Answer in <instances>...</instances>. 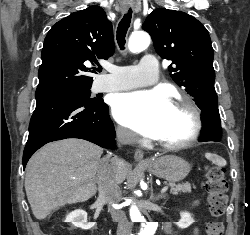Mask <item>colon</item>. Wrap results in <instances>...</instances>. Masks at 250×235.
<instances>
[{
	"mask_svg": "<svg viewBox=\"0 0 250 235\" xmlns=\"http://www.w3.org/2000/svg\"><path fill=\"white\" fill-rule=\"evenodd\" d=\"M205 190L208 195V208L212 220L206 224L207 235H223L224 225L220 220L227 206L228 182L225 177V169L213 166L206 175Z\"/></svg>",
	"mask_w": 250,
	"mask_h": 235,
	"instance_id": "obj_1",
	"label": "colon"
}]
</instances>
